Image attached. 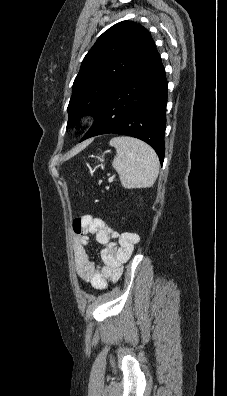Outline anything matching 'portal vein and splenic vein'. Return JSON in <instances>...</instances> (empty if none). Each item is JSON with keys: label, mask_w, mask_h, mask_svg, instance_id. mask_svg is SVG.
Instances as JSON below:
<instances>
[{"label": "portal vein and splenic vein", "mask_w": 227, "mask_h": 396, "mask_svg": "<svg viewBox=\"0 0 227 396\" xmlns=\"http://www.w3.org/2000/svg\"><path fill=\"white\" fill-rule=\"evenodd\" d=\"M113 181V178H109V182H112Z\"/></svg>", "instance_id": "portal-vein-and-splenic-vein-1"}]
</instances>
